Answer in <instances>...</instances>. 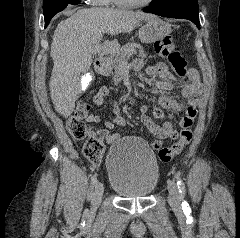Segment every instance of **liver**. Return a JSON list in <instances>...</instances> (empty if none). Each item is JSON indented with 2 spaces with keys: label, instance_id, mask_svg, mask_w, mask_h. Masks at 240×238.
<instances>
[{
  "label": "liver",
  "instance_id": "1",
  "mask_svg": "<svg viewBox=\"0 0 240 238\" xmlns=\"http://www.w3.org/2000/svg\"><path fill=\"white\" fill-rule=\"evenodd\" d=\"M156 18L140 11L91 8L78 10L61 21L54 32L50 53L54 66L49 89L55 110L65 118L72 114L81 88V73H86L92 64V47L119 50L117 40L101 44L105 34L130 33L142 21Z\"/></svg>",
  "mask_w": 240,
  "mask_h": 238
}]
</instances>
